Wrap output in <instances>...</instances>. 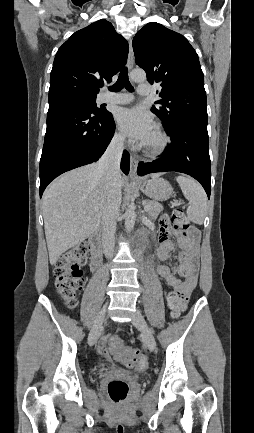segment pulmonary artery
<instances>
[{
  "label": "pulmonary artery",
  "mask_w": 254,
  "mask_h": 433,
  "mask_svg": "<svg viewBox=\"0 0 254 433\" xmlns=\"http://www.w3.org/2000/svg\"><path fill=\"white\" fill-rule=\"evenodd\" d=\"M139 95H150L152 93L151 87L148 84H140L137 88ZM133 94L131 93H104L102 101L105 103L113 104H129L133 101Z\"/></svg>",
  "instance_id": "obj_1"
}]
</instances>
